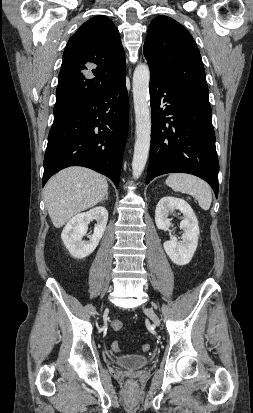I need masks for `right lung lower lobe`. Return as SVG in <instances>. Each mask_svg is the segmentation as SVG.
<instances>
[{
	"label": "right lung lower lobe",
	"mask_w": 253,
	"mask_h": 413,
	"mask_svg": "<svg viewBox=\"0 0 253 413\" xmlns=\"http://www.w3.org/2000/svg\"><path fill=\"white\" fill-rule=\"evenodd\" d=\"M128 117L125 77L102 93L54 114L42 186L63 168L84 166L106 175L118 187Z\"/></svg>",
	"instance_id": "right-lung-lower-lobe-1"
}]
</instances>
